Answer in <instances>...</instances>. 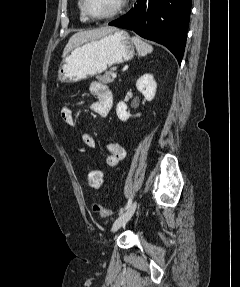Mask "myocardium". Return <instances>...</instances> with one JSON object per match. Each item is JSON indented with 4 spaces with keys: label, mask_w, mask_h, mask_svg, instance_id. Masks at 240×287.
Returning a JSON list of instances; mask_svg holds the SVG:
<instances>
[{
    "label": "myocardium",
    "mask_w": 240,
    "mask_h": 287,
    "mask_svg": "<svg viewBox=\"0 0 240 287\" xmlns=\"http://www.w3.org/2000/svg\"><path fill=\"white\" fill-rule=\"evenodd\" d=\"M127 2L128 0H120L114 10L103 16H96L89 10L88 0H82V9L85 15L93 21H107L119 15L126 7Z\"/></svg>",
    "instance_id": "obj_1"
}]
</instances>
